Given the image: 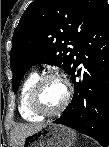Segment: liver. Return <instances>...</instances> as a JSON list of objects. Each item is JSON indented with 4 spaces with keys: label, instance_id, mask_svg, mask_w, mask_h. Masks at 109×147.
<instances>
[{
    "label": "liver",
    "instance_id": "6515ba94",
    "mask_svg": "<svg viewBox=\"0 0 109 147\" xmlns=\"http://www.w3.org/2000/svg\"><path fill=\"white\" fill-rule=\"evenodd\" d=\"M44 126L45 124H25L16 126L11 134L13 147H22L24 139L28 135L40 130Z\"/></svg>",
    "mask_w": 109,
    "mask_h": 147
}]
</instances>
